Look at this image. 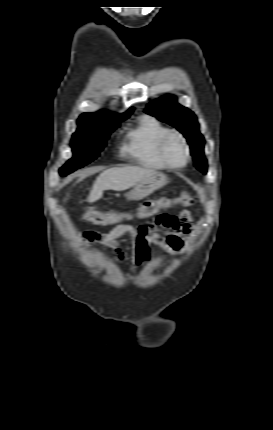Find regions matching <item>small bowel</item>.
<instances>
[{"instance_id":"1","label":"small bowel","mask_w":273,"mask_h":430,"mask_svg":"<svg viewBox=\"0 0 273 430\" xmlns=\"http://www.w3.org/2000/svg\"><path fill=\"white\" fill-rule=\"evenodd\" d=\"M193 229L191 217L184 211L179 217L163 215L137 228L120 224L107 233H86L83 240L99 242L112 248L115 261H120L124 255L117 240L128 234L136 242V263L138 266H144L149 261L151 245L161 247L170 255H177L183 248L184 240L192 236Z\"/></svg>"}]
</instances>
